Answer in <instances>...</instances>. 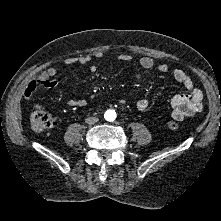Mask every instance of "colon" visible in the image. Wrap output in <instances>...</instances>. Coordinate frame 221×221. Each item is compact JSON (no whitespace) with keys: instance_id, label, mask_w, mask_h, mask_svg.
<instances>
[{"instance_id":"5ec220e1","label":"colon","mask_w":221,"mask_h":221,"mask_svg":"<svg viewBox=\"0 0 221 221\" xmlns=\"http://www.w3.org/2000/svg\"><path fill=\"white\" fill-rule=\"evenodd\" d=\"M184 111L181 112L177 116V119L170 120L167 123V127L171 131H177L180 129L179 121L182 119V114ZM53 125V118L52 116L46 112L42 107H37L31 114V126L32 129L36 132H42Z\"/></svg>"}]
</instances>
